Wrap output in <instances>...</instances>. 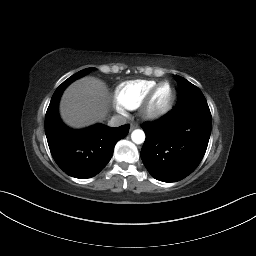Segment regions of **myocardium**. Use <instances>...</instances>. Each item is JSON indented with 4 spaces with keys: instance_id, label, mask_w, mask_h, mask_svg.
<instances>
[{
    "instance_id": "obj_1",
    "label": "myocardium",
    "mask_w": 256,
    "mask_h": 256,
    "mask_svg": "<svg viewBox=\"0 0 256 256\" xmlns=\"http://www.w3.org/2000/svg\"><path fill=\"white\" fill-rule=\"evenodd\" d=\"M168 85L171 89V94L168 101L163 106H155L154 98L161 87ZM176 98V92L173 85L170 82L163 81L157 83L144 98L142 103L139 105L140 115L147 120H155L165 116L172 109Z\"/></svg>"
}]
</instances>
